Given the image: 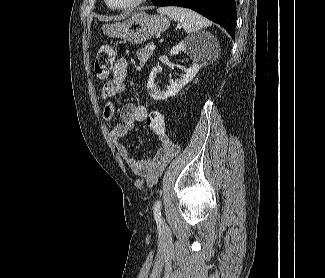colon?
I'll list each match as a JSON object with an SVG mask.
<instances>
[{
	"label": "colon",
	"mask_w": 325,
	"mask_h": 278,
	"mask_svg": "<svg viewBox=\"0 0 325 278\" xmlns=\"http://www.w3.org/2000/svg\"><path fill=\"white\" fill-rule=\"evenodd\" d=\"M114 56V50L109 45H103L98 50L94 62V71L99 79H106L110 75ZM146 123L149 129L156 135L160 136L165 134L166 122L161 112L156 110L151 111L147 115Z\"/></svg>",
	"instance_id": "1"
}]
</instances>
